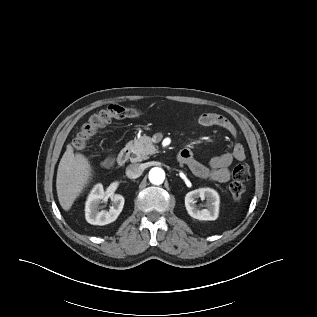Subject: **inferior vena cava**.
<instances>
[{"mask_svg":"<svg viewBox=\"0 0 317 317\" xmlns=\"http://www.w3.org/2000/svg\"><path fill=\"white\" fill-rule=\"evenodd\" d=\"M144 168L139 164H131L126 168V175L130 179H135L141 176Z\"/></svg>","mask_w":317,"mask_h":317,"instance_id":"1","label":"inferior vena cava"}]
</instances>
